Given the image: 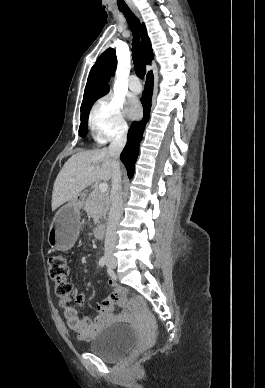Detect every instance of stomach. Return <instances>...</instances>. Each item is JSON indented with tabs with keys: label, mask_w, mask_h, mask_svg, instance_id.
Here are the masks:
<instances>
[{
	"label": "stomach",
	"mask_w": 265,
	"mask_h": 388,
	"mask_svg": "<svg viewBox=\"0 0 265 388\" xmlns=\"http://www.w3.org/2000/svg\"><path fill=\"white\" fill-rule=\"evenodd\" d=\"M82 200L75 198L56 213L48 233L49 245L60 251L70 249L79 234Z\"/></svg>",
	"instance_id": "stomach-1"
}]
</instances>
